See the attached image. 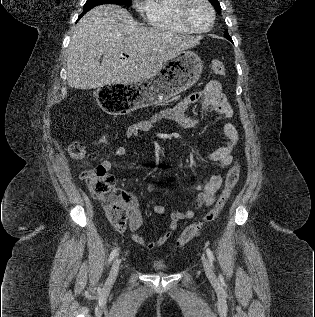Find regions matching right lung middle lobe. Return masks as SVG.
I'll return each mask as SVG.
<instances>
[{"mask_svg":"<svg viewBox=\"0 0 315 317\" xmlns=\"http://www.w3.org/2000/svg\"><path fill=\"white\" fill-rule=\"evenodd\" d=\"M102 4H117V5L130 6L131 0H87V2L85 3L83 7L82 15L85 14L90 9H92L93 7L102 5Z\"/></svg>","mask_w":315,"mask_h":317,"instance_id":"obj_1","label":"right lung middle lobe"}]
</instances>
